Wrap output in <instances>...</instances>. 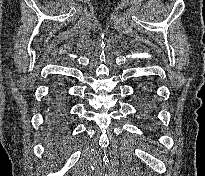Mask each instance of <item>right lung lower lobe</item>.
Returning <instances> with one entry per match:
<instances>
[{
    "mask_svg": "<svg viewBox=\"0 0 205 176\" xmlns=\"http://www.w3.org/2000/svg\"><path fill=\"white\" fill-rule=\"evenodd\" d=\"M57 103L59 104V101ZM63 118V111L60 104L59 106L54 104L47 123V141L49 147L52 149H58L64 144V135L62 132Z\"/></svg>",
    "mask_w": 205,
    "mask_h": 176,
    "instance_id": "right-lung-lower-lobe-1",
    "label": "right lung lower lobe"
}]
</instances>
